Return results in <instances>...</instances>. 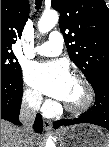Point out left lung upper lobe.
I'll return each mask as SVG.
<instances>
[{"label":"left lung upper lobe","mask_w":109,"mask_h":147,"mask_svg":"<svg viewBox=\"0 0 109 147\" xmlns=\"http://www.w3.org/2000/svg\"><path fill=\"white\" fill-rule=\"evenodd\" d=\"M71 60L92 85L109 75V8L104 0H52Z\"/></svg>","instance_id":"1"}]
</instances>
